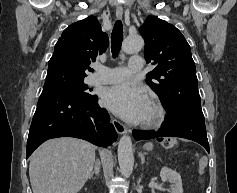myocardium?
Returning a JSON list of instances; mask_svg holds the SVG:
<instances>
[{
	"mask_svg": "<svg viewBox=\"0 0 237 193\" xmlns=\"http://www.w3.org/2000/svg\"><path fill=\"white\" fill-rule=\"evenodd\" d=\"M150 105L152 107V114L150 117L143 119L141 124L149 128L160 126L166 118V111L163 105L156 99H151Z\"/></svg>",
	"mask_w": 237,
	"mask_h": 193,
	"instance_id": "f54148a6",
	"label": "myocardium"
}]
</instances>
